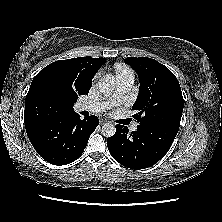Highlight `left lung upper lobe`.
Here are the masks:
<instances>
[{"instance_id": "left-lung-upper-lobe-1", "label": "left lung upper lobe", "mask_w": 222, "mask_h": 222, "mask_svg": "<svg viewBox=\"0 0 222 222\" xmlns=\"http://www.w3.org/2000/svg\"><path fill=\"white\" fill-rule=\"evenodd\" d=\"M125 62L138 74L140 89L132 109L139 125L170 123L180 126L184 107L176 76L164 65L148 57H128Z\"/></svg>"}]
</instances>
